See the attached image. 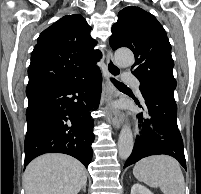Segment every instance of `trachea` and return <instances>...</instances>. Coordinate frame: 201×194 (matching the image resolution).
<instances>
[{"instance_id":"obj_1","label":"trachea","mask_w":201,"mask_h":194,"mask_svg":"<svg viewBox=\"0 0 201 194\" xmlns=\"http://www.w3.org/2000/svg\"><path fill=\"white\" fill-rule=\"evenodd\" d=\"M112 83L116 86V87H125V85L119 81H117L114 78H111Z\"/></svg>"}]
</instances>
